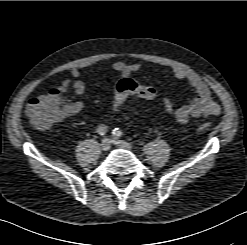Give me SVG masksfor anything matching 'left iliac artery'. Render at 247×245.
<instances>
[{
    "mask_svg": "<svg viewBox=\"0 0 247 245\" xmlns=\"http://www.w3.org/2000/svg\"><path fill=\"white\" fill-rule=\"evenodd\" d=\"M113 136L115 137H121L122 136V131L119 128H115L112 132Z\"/></svg>",
    "mask_w": 247,
    "mask_h": 245,
    "instance_id": "1",
    "label": "left iliac artery"
}]
</instances>
